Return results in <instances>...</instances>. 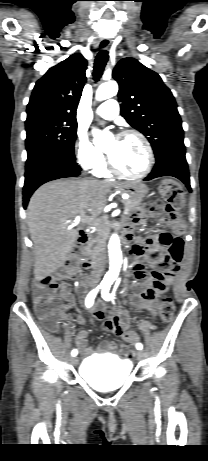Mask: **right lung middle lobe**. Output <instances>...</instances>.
Here are the masks:
<instances>
[{"mask_svg":"<svg viewBox=\"0 0 208 461\" xmlns=\"http://www.w3.org/2000/svg\"><path fill=\"white\" fill-rule=\"evenodd\" d=\"M27 161L46 152H57L75 160L77 121L67 118L27 117Z\"/></svg>","mask_w":208,"mask_h":461,"instance_id":"dd1d6c3e","label":"right lung middle lobe"}]
</instances>
